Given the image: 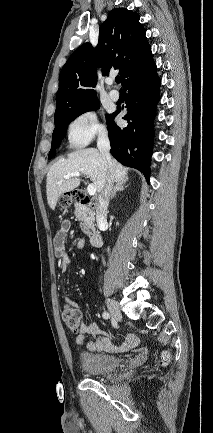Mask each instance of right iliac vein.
<instances>
[{"instance_id":"63e3f726","label":"right iliac vein","mask_w":213,"mask_h":433,"mask_svg":"<svg viewBox=\"0 0 213 433\" xmlns=\"http://www.w3.org/2000/svg\"><path fill=\"white\" fill-rule=\"evenodd\" d=\"M106 304H107L108 310L110 311L111 315L116 320H120L122 315H121V311H120V308H119V305L117 304V302L113 299L108 298L106 300Z\"/></svg>"}]
</instances>
